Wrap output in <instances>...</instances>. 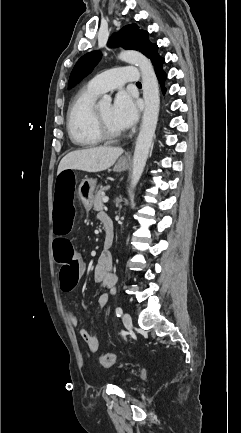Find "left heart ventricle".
Listing matches in <instances>:
<instances>
[{"label": "left heart ventricle", "mask_w": 241, "mask_h": 433, "mask_svg": "<svg viewBox=\"0 0 241 433\" xmlns=\"http://www.w3.org/2000/svg\"><path fill=\"white\" fill-rule=\"evenodd\" d=\"M97 109L104 124L110 131L121 132L112 119V106L110 104L99 106Z\"/></svg>", "instance_id": "1"}]
</instances>
